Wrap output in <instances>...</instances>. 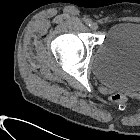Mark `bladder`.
I'll use <instances>...</instances> for the list:
<instances>
[{"mask_svg":"<svg viewBox=\"0 0 140 140\" xmlns=\"http://www.w3.org/2000/svg\"><path fill=\"white\" fill-rule=\"evenodd\" d=\"M92 72L103 85L140 91V23L120 21L105 33L92 59Z\"/></svg>","mask_w":140,"mask_h":140,"instance_id":"obj_1","label":"bladder"}]
</instances>
